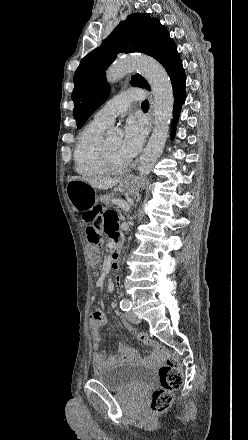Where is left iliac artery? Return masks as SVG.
<instances>
[{
	"label": "left iliac artery",
	"mask_w": 248,
	"mask_h": 440,
	"mask_svg": "<svg viewBox=\"0 0 248 440\" xmlns=\"http://www.w3.org/2000/svg\"><path fill=\"white\" fill-rule=\"evenodd\" d=\"M131 301L127 298H124L120 301V307L123 311H129L131 309Z\"/></svg>",
	"instance_id": "obj_1"
}]
</instances>
